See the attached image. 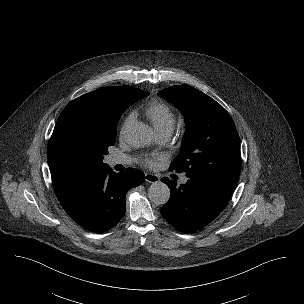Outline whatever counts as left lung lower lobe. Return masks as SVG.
Masks as SVG:
<instances>
[{"label":"left lung lower lobe","mask_w":304,"mask_h":304,"mask_svg":"<svg viewBox=\"0 0 304 304\" xmlns=\"http://www.w3.org/2000/svg\"><path fill=\"white\" fill-rule=\"evenodd\" d=\"M161 180L171 190V197L161 208V214L184 233L197 231L214 220L234 191V188L208 180L189 179L179 187L166 177Z\"/></svg>","instance_id":"left-lung-lower-lobe-1"}]
</instances>
